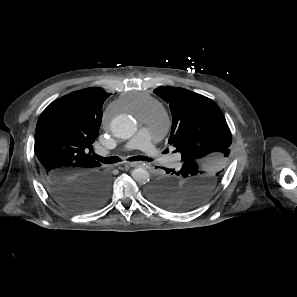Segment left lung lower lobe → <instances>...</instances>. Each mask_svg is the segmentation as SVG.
Listing matches in <instances>:
<instances>
[{
    "label": "left lung lower lobe",
    "instance_id": "1",
    "mask_svg": "<svg viewBox=\"0 0 297 297\" xmlns=\"http://www.w3.org/2000/svg\"><path fill=\"white\" fill-rule=\"evenodd\" d=\"M165 171H166V173L168 174V175H170V174H172V173H178L177 171H175V170H171V169H165ZM167 175V176H168Z\"/></svg>",
    "mask_w": 297,
    "mask_h": 297
}]
</instances>
